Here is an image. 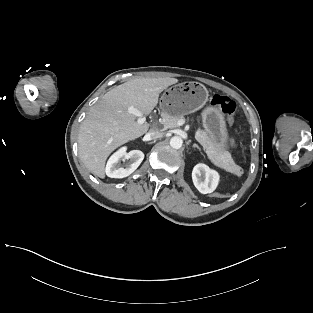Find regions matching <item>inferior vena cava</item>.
Listing matches in <instances>:
<instances>
[{
	"label": "inferior vena cava",
	"instance_id": "602c4592",
	"mask_svg": "<svg viewBox=\"0 0 313 313\" xmlns=\"http://www.w3.org/2000/svg\"><path fill=\"white\" fill-rule=\"evenodd\" d=\"M164 135L163 132L158 131V130H152L150 132H148L146 134V136L148 137V139H157V138H161Z\"/></svg>",
	"mask_w": 313,
	"mask_h": 313
}]
</instances>
